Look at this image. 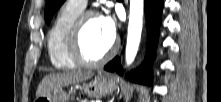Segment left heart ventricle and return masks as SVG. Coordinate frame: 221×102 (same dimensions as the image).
<instances>
[{
  "instance_id": "b2bd125f",
  "label": "left heart ventricle",
  "mask_w": 221,
  "mask_h": 102,
  "mask_svg": "<svg viewBox=\"0 0 221 102\" xmlns=\"http://www.w3.org/2000/svg\"><path fill=\"white\" fill-rule=\"evenodd\" d=\"M102 30L100 18H91L87 21L82 32V49L89 59H98L103 56L112 44Z\"/></svg>"
}]
</instances>
